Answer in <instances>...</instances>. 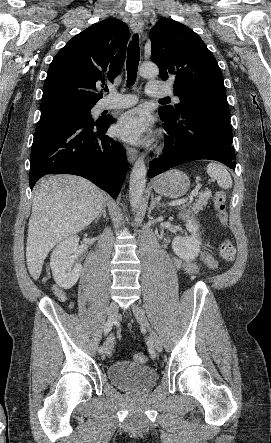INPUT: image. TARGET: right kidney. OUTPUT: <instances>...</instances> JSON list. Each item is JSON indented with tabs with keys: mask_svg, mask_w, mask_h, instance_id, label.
Returning <instances> with one entry per match:
<instances>
[{
	"mask_svg": "<svg viewBox=\"0 0 271 443\" xmlns=\"http://www.w3.org/2000/svg\"><path fill=\"white\" fill-rule=\"evenodd\" d=\"M78 235H71L56 245L51 253L50 265L52 275L63 289H70L82 271V265L78 259L80 253L78 249Z\"/></svg>",
	"mask_w": 271,
	"mask_h": 443,
	"instance_id": "1",
	"label": "right kidney"
}]
</instances>
